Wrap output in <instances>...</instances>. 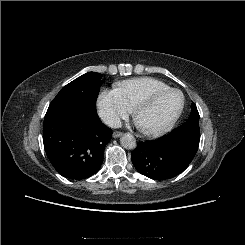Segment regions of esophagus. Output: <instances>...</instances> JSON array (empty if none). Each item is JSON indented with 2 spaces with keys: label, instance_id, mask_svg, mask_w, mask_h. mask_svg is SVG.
Masks as SVG:
<instances>
[{
  "label": "esophagus",
  "instance_id": "1",
  "mask_svg": "<svg viewBox=\"0 0 245 245\" xmlns=\"http://www.w3.org/2000/svg\"><path fill=\"white\" fill-rule=\"evenodd\" d=\"M122 134H123L122 132L114 131V132H113V137H114V138H117V137L122 136Z\"/></svg>",
  "mask_w": 245,
  "mask_h": 245
}]
</instances>
